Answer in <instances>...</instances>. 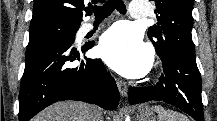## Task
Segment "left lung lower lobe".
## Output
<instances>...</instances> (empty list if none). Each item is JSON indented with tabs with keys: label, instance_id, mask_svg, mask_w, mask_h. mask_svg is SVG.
Returning <instances> with one entry per match:
<instances>
[{
	"label": "left lung lower lobe",
	"instance_id": "left-lung-lower-lobe-1",
	"mask_svg": "<svg viewBox=\"0 0 217 121\" xmlns=\"http://www.w3.org/2000/svg\"><path fill=\"white\" fill-rule=\"evenodd\" d=\"M164 74L157 85L131 88L129 103L163 101L192 116L196 121H204L201 98V76L195 56L185 52L171 51L160 57Z\"/></svg>",
	"mask_w": 217,
	"mask_h": 121
}]
</instances>
